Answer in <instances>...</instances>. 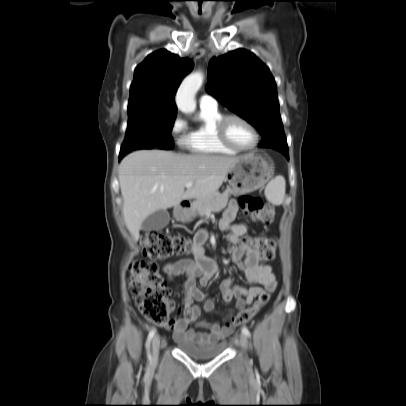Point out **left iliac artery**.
Returning <instances> with one entry per match:
<instances>
[{
	"instance_id": "left-iliac-artery-1",
	"label": "left iliac artery",
	"mask_w": 406,
	"mask_h": 406,
	"mask_svg": "<svg viewBox=\"0 0 406 406\" xmlns=\"http://www.w3.org/2000/svg\"><path fill=\"white\" fill-rule=\"evenodd\" d=\"M242 333L245 334L246 336H250V332H249L248 328H246V327L242 328Z\"/></svg>"
}]
</instances>
